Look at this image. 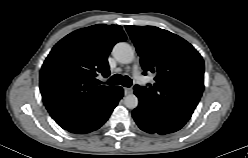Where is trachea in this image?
Returning a JSON list of instances; mask_svg holds the SVG:
<instances>
[{
  "label": "trachea",
  "instance_id": "trachea-1",
  "mask_svg": "<svg viewBox=\"0 0 248 158\" xmlns=\"http://www.w3.org/2000/svg\"><path fill=\"white\" fill-rule=\"evenodd\" d=\"M108 84L109 85L122 84L124 87H130L132 85V80L128 76H122L120 74H115L108 80Z\"/></svg>",
  "mask_w": 248,
  "mask_h": 158
}]
</instances>
